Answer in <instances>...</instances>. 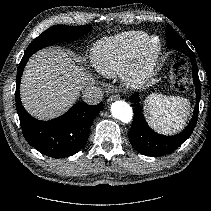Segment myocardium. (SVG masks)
<instances>
[{
	"label": "myocardium",
	"instance_id": "1",
	"mask_svg": "<svg viewBox=\"0 0 211 211\" xmlns=\"http://www.w3.org/2000/svg\"><path fill=\"white\" fill-rule=\"evenodd\" d=\"M164 51L162 39L149 34L142 41L132 61L123 72L124 84L136 89L144 85L156 73Z\"/></svg>",
	"mask_w": 211,
	"mask_h": 211
}]
</instances>
